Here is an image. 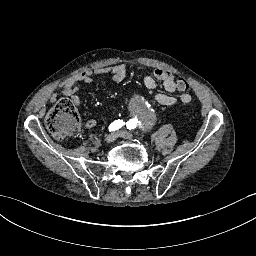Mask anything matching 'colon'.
<instances>
[{
  "label": "colon",
  "mask_w": 256,
  "mask_h": 256,
  "mask_svg": "<svg viewBox=\"0 0 256 256\" xmlns=\"http://www.w3.org/2000/svg\"><path fill=\"white\" fill-rule=\"evenodd\" d=\"M177 88L181 92L189 89V83L184 78H180ZM78 112L74 103L69 99L59 100L48 114L46 128L57 139L70 137L75 129V120Z\"/></svg>",
  "instance_id": "5ec220e1"
}]
</instances>
